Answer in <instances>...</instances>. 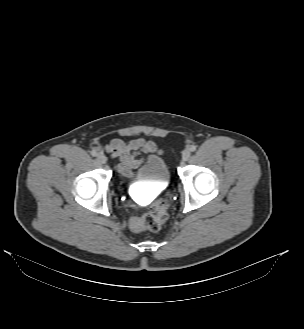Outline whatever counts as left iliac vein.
I'll list each match as a JSON object with an SVG mask.
<instances>
[{"instance_id":"left-iliac-vein-1","label":"left iliac vein","mask_w":304,"mask_h":329,"mask_svg":"<svg viewBox=\"0 0 304 329\" xmlns=\"http://www.w3.org/2000/svg\"><path fill=\"white\" fill-rule=\"evenodd\" d=\"M191 156V151L189 149H185L182 153V159L187 161Z\"/></svg>"}]
</instances>
